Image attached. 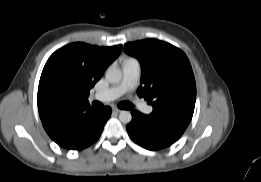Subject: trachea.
Here are the masks:
<instances>
[{"mask_svg":"<svg viewBox=\"0 0 261 182\" xmlns=\"http://www.w3.org/2000/svg\"><path fill=\"white\" fill-rule=\"evenodd\" d=\"M92 106H93L94 108L100 109V108L102 107V104H101L100 102L94 101V102L92 103ZM118 107H119L120 109H131V108H133V105H132L130 102L124 101V102H120V103L118 104Z\"/></svg>","mask_w":261,"mask_h":182,"instance_id":"obj_1","label":"trachea"}]
</instances>
